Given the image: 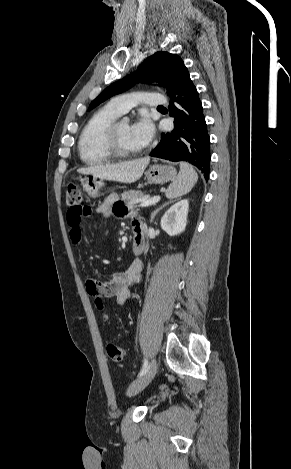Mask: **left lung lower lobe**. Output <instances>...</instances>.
Segmentation results:
<instances>
[{
    "label": "left lung lower lobe",
    "mask_w": 291,
    "mask_h": 469,
    "mask_svg": "<svg viewBox=\"0 0 291 469\" xmlns=\"http://www.w3.org/2000/svg\"><path fill=\"white\" fill-rule=\"evenodd\" d=\"M169 112L174 117V130L163 133L159 145L150 156L170 161H187L209 178L210 138L202 103L196 87L185 72L169 94Z\"/></svg>",
    "instance_id": "obj_1"
}]
</instances>
